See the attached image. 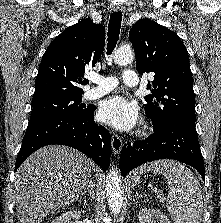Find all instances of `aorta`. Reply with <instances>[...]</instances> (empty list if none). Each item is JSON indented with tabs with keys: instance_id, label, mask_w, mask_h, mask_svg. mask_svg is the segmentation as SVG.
I'll return each instance as SVG.
<instances>
[{
	"instance_id": "1",
	"label": "aorta",
	"mask_w": 221,
	"mask_h": 223,
	"mask_svg": "<svg viewBox=\"0 0 221 223\" xmlns=\"http://www.w3.org/2000/svg\"><path fill=\"white\" fill-rule=\"evenodd\" d=\"M118 65H126L133 61L134 54L130 49H118L113 56ZM106 196L110 211L117 215L123 204V191L119 172L116 168L109 171L106 184Z\"/></svg>"
}]
</instances>
